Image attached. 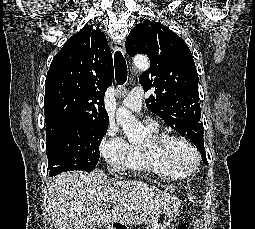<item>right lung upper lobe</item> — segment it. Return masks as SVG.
<instances>
[{
	"mask_svg": "<svg viewBox=\"0 0 255 229\" xmlns=\"http://www.w3.org/2000/svg\"><path fill=\"white\" fill-rule=\"evenodd\" d=\"M113 78L105 34L93 26L83 27L55 55L47 73L46 124L109 122L104 95Z\"/></svg>",
	"mask_w": 255,
	"mask_h": 229,
	"instance_id": "obj_1",
	"label": "right lung upper lobe"
}]
</instances>
